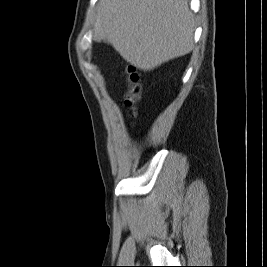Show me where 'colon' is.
<instances>
[{
	"label": "colon",
	"instance_id": "colon-1",
	"mask_svg": "<svg viewBox=\"0 0 267 267\" xmlns=\"http://www.w3.org/2000/svg\"><path fill=\"white\" fill-rule=\"evenodd\" d=\"M125 78L127 82V93L125 96V104L129 108V114H135L134 105L140 98L141 88L139 84V74L135 67L128 66L125 69Z\"/></svg>",
	"mask_w": 267,
	"mask_h": 267
}]
</instances>
